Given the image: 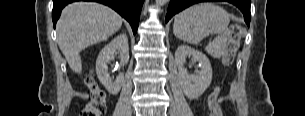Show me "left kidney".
<instances>
[{
	"label": "left kidney",
	"mask_w": 305,
	"mask_h": 116,
	"mask_svg": "<svg viewBox=\"0 0 305 116\" xmlns=\"http://www.w3.org/2000/svg\"><path fill=\"white\" fill-rule=\"evenodd\" d=\"M187 56H191L193 62L199 63L200 70L195 75H190L184 68ZM175 63L179 70V84L185 96L192 100L200 97L212 81V68L207 56L189 46L181 45L175 52Z\"/></svg>",
	"instance_id": "5707ae66"
}]
</instances>
